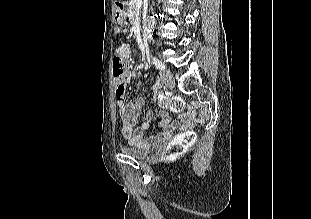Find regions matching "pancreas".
<instances>
[{
  "label": "pancreas",
  "mask_w": 311,
  "mask_h": 219,
  "mask_svg": "<svg viewBox=\"0 0 311 219\" xmlns=\"http://www.w3.org/2000/svg\"><path fill=\"white\" fill-rule=\"evenodd\" d=\"M136 4L134 0H130L129 1V5H128V17L131 20V22L133 23L135 18H136Z\"/></svg>",
  "instance_id": "cf45deb5"
}]
</instances>
